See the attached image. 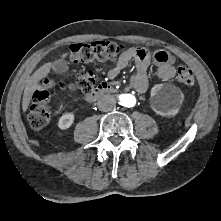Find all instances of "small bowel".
Masks as SVG:
<instances>
[{"instance_id":"small-bowel-1","label":"small bowel","mask_w":221,"mask_h":221,"mask_svg":"<svg viewBox=\"0 0 221 221\" xmlns=\"http://www.w3.org/2000/svg\"><path fill=\"white\" fill-rule=\"evenodd\" d=\"M131 61L136 64V72L131 76L129 88L143 94L148 89L147 70L152 62V56L146 48L131 47L124 51L117 62L109 66L107 76L109 79L116 78ZM174 61L175 59L170 53L164 50H157L154 53L157 77L162 80L173 78L176 73Z\"/></svg>"}]
</instances>
